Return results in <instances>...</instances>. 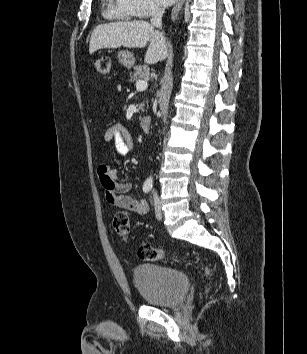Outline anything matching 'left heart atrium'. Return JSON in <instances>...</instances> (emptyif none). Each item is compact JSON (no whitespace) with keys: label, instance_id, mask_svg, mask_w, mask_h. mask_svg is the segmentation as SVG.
<instances>
[{"label":"left heart atrium","instance_id":"39dd6f15","mask_svg":"<svg viewBox=\"0 0 307 354\" xmlns=\"http://www.w3.org/2000/svg\"><path fill=\"white\" fill-rule=\"evenodd\" d=\"M159 2L163 5H171L175 2V0H159Z\"/></svg>","mask_w":307,"mask_h":354}]
</instances>
